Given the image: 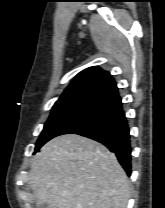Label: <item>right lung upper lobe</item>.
I'll use <instances>...</instances> for the list:
<instances>
[{
  "mask_svg": "<svg viewBox=\"0 0 165 208\" xmlns=\"http://www.w3.org/2000/svg\"><path fill=\"white\" fill-rule=\"evenodd\" d=\"M116 94L118 88L111 75L99 67H89L76 75L54 106L94 107Z\"/></svg>",
  "mask_w": 165,
  "mask_h": 208,
  "instance_id": "obj_1",
  "label": "right lung upper lobe"
}]
</instances>
